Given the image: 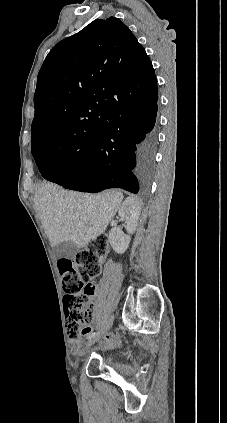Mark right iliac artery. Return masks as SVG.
Returning <instances> with one entry per match:
<instances>
[{"instance_id":"82829eb1","label":"right iliac artery","mask_w":227,"mask_h":423,"mask_svg":"<svg viewBox=\"0 0 227 423\" xmlns=\"http://www.w3.org/2000/svg\"><path fill=\"white\" fill-rule=\"evenodd\" d=\"M97 335V333H89V334H86V338L87 339H91V338H93V337H95Z\"/></svg>"}]
</instances>
